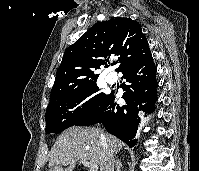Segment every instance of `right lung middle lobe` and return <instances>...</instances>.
<instances>
[{"label":"right lung middle lobe","instance_id":"dd1d6c3e","mask_svg":"<svg viewBox=\"0 0 199 171\" xmlns=\"http://www.w3.org/2000/svg\"><path fill=\"white\" fill-rule=\"evenodd\" d=\"M96 82L87 84L73 94L49 105L45 113L47 133H59L97 108L106 98L99 93Z\"/></svg>","mask_w":199,"mask_h":171}]
</instances>
